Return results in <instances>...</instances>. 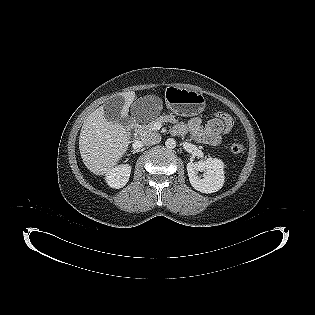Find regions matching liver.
I'll use <instances>...</instances> for the list:
<instances>
[{
	"instance_id": "6515ba94",
	"label": "liver",
	"mask_w": 315,
	"mask_h": 315,
	"mask_svg": "<svg viewBox=\"0 0 315 315\" xmlns=\"http://www.w3.org/2000/svg\"><path fill=\"white\" fill-rule=\"evenodd\" d=\"M123 98V116H127L129 107L135 99L134 92L118 95ZM130 135L126 128L104 117L103 106L94 110L84 121L80 137L79 150L85 166L96 175H107L128 150Z\"/></svg>"
}]
</instances>
